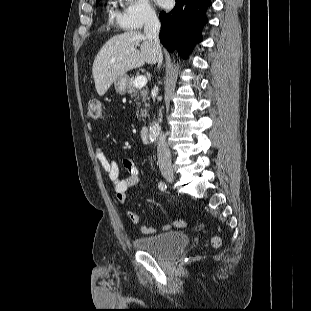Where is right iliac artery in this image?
<instances>
[{
  "label": "right iliac artery",
  "mask_w": 311,
  "mask_h": 311,
  "mask_svg": "<svg viewBox=\"0 0 311 311\" xmlns=\"http://www.w3.org/2000/svg\"><path fill=\"white\" fill-rule=\"evenodd\" d=\"M158 187L161 191H165L167 189L166 184L162 181L159 183Z\"/></svg>",
  "instance_id": "82829eb1"
}]
</instances>
